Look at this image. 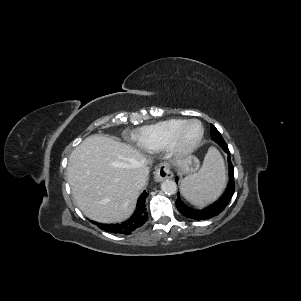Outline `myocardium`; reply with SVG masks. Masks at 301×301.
<instances>
[{
    "label": "myocardium",
    "instance_id": "f54148a6",
    "mask_svg": "<svg viewBox=\"0 0 301 301\" xmlns=\"http://www.w3.org/2000/svg\"><path fill=\"white\" fill-rule=\"evenodd\" d=\"M192 124H198L201 128L200 135L191 144H185L183 141L184 134L188 127ZM205 134V129L203 124L196 119L187 120L181 128L176 132V134L171 139L166 150L171 157L182 158L192 154L201 144Z\"/></svg>",
    "mask_w": 301,
    "mask_h": 301
}]
</instances>
